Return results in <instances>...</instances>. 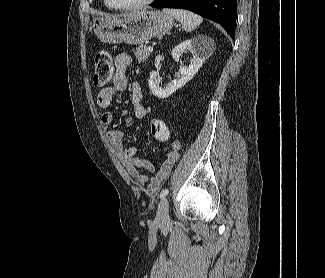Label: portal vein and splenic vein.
I'll return each mask as SVG.
<instances>
[{
  "instance_id": "1",
  "label": "portal vein and splenic vein",
  "mask_w": 325,
  "mask_h": 278,
  "mask_svg": "<svg viewBox=\"0 0 325 278\" xmlns=\"http://www.w3.org/2000/svg\"><path fill=\"white\" fill-rule=\"evenodd\" d=\"M147 50H148L149 52H152V51H153V47L149 46V47L147 48Z\"/></svg>"
}]
</instances>
